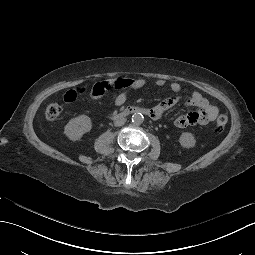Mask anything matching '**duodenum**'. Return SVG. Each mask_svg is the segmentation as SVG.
Listing matches in <instances>:
<instances>
[{
	"mask_svg": "<svg viewBox=\"0 0 255 255\" xmlns=\"http://www.w3.org/2000/svg\"><path fill=\"white\" fill-rule=\"evenodd\" d=\"M138 112L144 113L150 117H154V113H153L152 109L140 108V107H136V106L126 107V108L122 109L121 111L114 112L112 116L114 118H120V117L128 116L133 113H138Z\"/></svg>",
	"mask_w": 255,
	"mask_h": 255,
	"instance_id": "obj_1",
	"label": "duodenum"
}]
</instances>
